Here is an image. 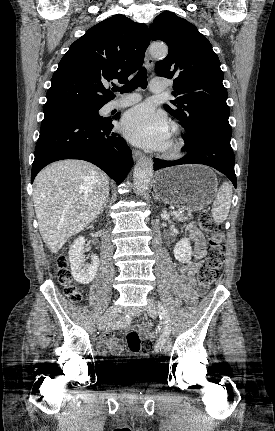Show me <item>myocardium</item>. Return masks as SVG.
I'll list each match as a JSON object with an SVG mask.
<instances>
[{"instance_id":"f54148a6","label":"myocardium","mask_w":275,"mask_h":431,"mask_svg":"<svg viewBox=\"0 0 275 431\" xmlns=\"http://www.w3.org/2000/svg\"><path fill=\"white\" fill-rule=\"evenodd\" d=\"M171 139L169 144L163 149L162 154L165 159L175 160L182 156L185 148V139L182 128L177 123L171 124Z\"/></svg>"}]
</instances>
